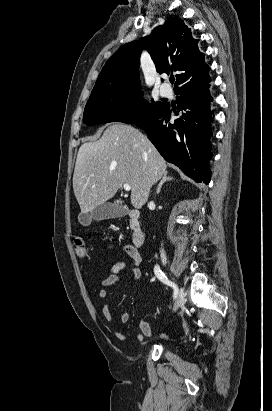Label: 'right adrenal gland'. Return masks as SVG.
Returning a JSON list of instances; mask_svg holds the SVG:
<instances>
[{"mask_svg": "<svg viewBox=\"0 0 272 411\" xmlns=\"http://www.w3.org/2000/svg\"><path fill=\"white\" fill-rule=\"evenodd\" d=\"M171 180H173V177L168 176V172H165V173L163 174V176H162L161 182H160L159 185H158V188H157L156 193L159 194L162 186H163L166 182H169V181H171Z\"/></svg>", "mask_w": 272, "mask_h": 411, "instance_id": "right-adrenal-gland-1", "label": "right adrenal gland"}]
</instances>
